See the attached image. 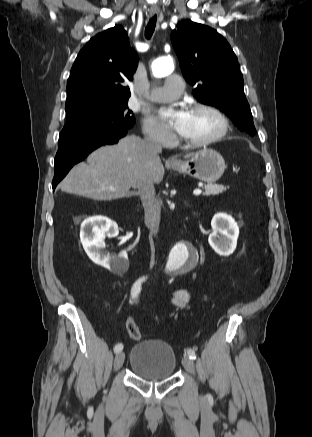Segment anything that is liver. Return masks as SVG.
<instances>
[{
	"label": "liver",
	"instance_id": "obj_1",
	"mask_svg": "<svg viewBox=\"0 0 312 437\" xmlns=\"http://www.w3.org/2000/svg\"><path fill=\"white\" fill-rule=\"evenodd\" d=\"M158 153L140 137L126 136L116 145L92 152L86 162L71 169L59 187L63 192L99 201L126 197L131 188H137L138 181L151 187L163 180L165 170Z\"/></svg>",
	"mask_w": 312,
	"mask_h": 437
}]
</instances>
